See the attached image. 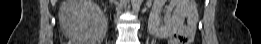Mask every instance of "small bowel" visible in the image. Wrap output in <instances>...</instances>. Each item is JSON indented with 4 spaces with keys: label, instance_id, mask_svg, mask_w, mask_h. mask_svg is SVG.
<instances>
[{
    "label": "small bowel",
    "instance_id": "small-bowel-1",
    "mask_svg": "<svg viewBox=\"0 0 261 44\" xmlns=\"http://www.w3.org/2000/svg\"><path fill=\"white\" fill-rule=\"evenodd\" d=\"M163 5V1L158 0L151 8L149 19L151 32L160 39L182 37L184 44H190L198 22L197 4L186 0L172 1L165 9L163 24H161L160 13Z\"/></svg>",
    "mask_w": 261,
    "mask_h": 44
}]
</instances>
